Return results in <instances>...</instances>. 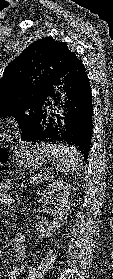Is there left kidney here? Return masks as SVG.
<instances>
[{"label": "left kidney", "mask_w": 113, "mask_h": 279, "mask_svg": "<svg viewBox=\"0 0 113 279\" xmlns=\"http://www.w3.org/2000/svg\"><path fill=\"white\" fill-rule=\"evenodd\" d=\"M70 189L71 184L57 180L50 184L48 188L45 189L41 194V199L44 202H48L52 195L56 194L59 199V204L57 210L53 214V223L51 226L48 228H43L40 222L36 224L35 228L40 232V235H38L39 239H42L45 236H52L56 229L61 227V225L64 223L66 215L70 209Z\"/></svg>", "instance_id": "left-kidney-1"}]
</instances>
